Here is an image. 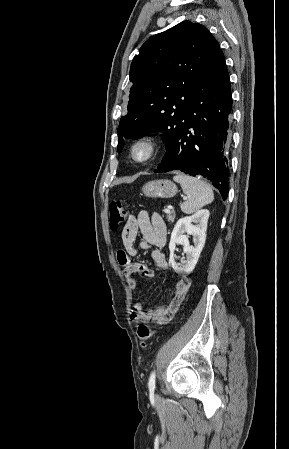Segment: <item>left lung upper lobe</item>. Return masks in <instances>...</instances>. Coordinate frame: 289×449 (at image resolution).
<instances>
[{"label":"left lung upper lobe","mask_w":289,"mask_h":449,"mask_svg":"<svg viewBox=\"0 0 289 449\" xmlns=\"http://www.w3.org/2000/svg\"><path fill=\"white\" fill-rule=\"evenodd\" d=\"M206 27L183 21L147 40L132 61L128 114L120 119L118 151L123 138L164 133L168 148L203 70L219 50Z\"/></svg>","instance_id":"left-lung-upper-lobe-1"}]
</instances>
